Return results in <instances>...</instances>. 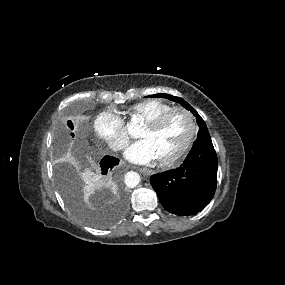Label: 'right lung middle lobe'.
<instances>
[{"instance_id":"1","label":"right lung middle lobe","mask_w":285,"mask_h":285,"mask_svg":"<svg viewBox=\"0 0 285 285\" xmlns=\"http://www.w3.org/2000/svg\"><path fill=\"white\" fill-rule=\"evenodd\" d=\"M68 127L72 130L73 124L71 121H68ZM74 137V134H71ZM63 136H60L56 140V149L61 150L64 148L65 144L63 142ZM76 164L70 155L67 158V162H58L56 168V179L59 186V190L62 194V197L69 208L80 218L85 220L87 223L94 225L96 227H106L110 224L109 221L93 218L91 217L86 210L83 208L81 202V195L79 191V180L78 176H75L73 171V166Z\"/></svg>"}]
</instances>
